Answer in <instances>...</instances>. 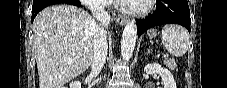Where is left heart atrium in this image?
I'll return each mask as SVG.
<instances>
[{
    "label": "left heart atrium",
    "instance_id": "left-heart-atrium-1",
    "mask_svg": "<svg viewBox=\"0 0 227 88\" xmlns=\"http://www.w3.org/2000/svg\"><path fill=\"white\" fill-rule=\"evenodd\" d=\"M121 6L127 7L130 5L137 4L139 1L138 0H118L117 1Z\"/></svg>",
    "mask_w": 227,
    "mask_h": 88
}]
</instances>
